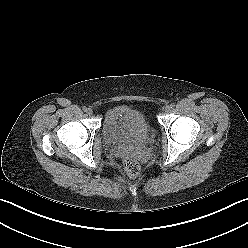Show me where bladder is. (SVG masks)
Wrapping results in <instances>:
<instances>
[{"mask_svg": "<svg viewBox=\"0 0 248 248\" xmlns=\"http://www.w3.org/2000/svg\"><path fill=\"white\" fill-rule=\"evenodd\" d=\"M153 131L146 110L125 106L110 110L102 126L103 140L110 145H119L129 138L144 141Z\"/></svg>", "mask_w": 248, "mask_h": 248, "instance_id": "obj_1", "label": "bladder"}]
</instances>
